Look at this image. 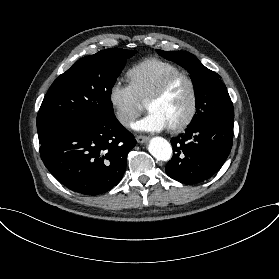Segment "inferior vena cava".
<instances>
[{"instance_id":"602c4592","label":"inferior vena cava","mask_w":279,"mask_h":279,"mask_svg":"<svg viewBox=\"0 0 279 279\" xmlns=\"http://www.w3.org/2000/svg\"><path fill=\"white\" fill-rule=\"evenodd\" d=\"M123 119H124L123 122H127L129 120V118L127 116H124Z\"/></svg>"}]
</instances>
